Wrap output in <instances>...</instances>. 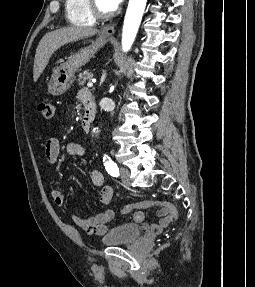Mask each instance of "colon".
I'll list each match as a JSON object with an SVG mask.
<instances>
[{"label":"colon","mask_w":255,"mask_h":287,"mask_svg":"<svg viewBox=\"0 0 255 287\" xmlns=\"http://www.w3.org/2000/svg\"><path fill=\"white\" fill-rule=\"evenodd\" d=\"M38 110L45 120L53 119L55 108L51 102L42 101L38 106ZM157 204L162 205L166 209V211L169 214V217L171 218V221H174V222L178 221L179 214H178L177 209L175 208L174 205L168 202H156L152 200H145V201H140V202L128 203L121 208L120 212L122 214H129L133 212L134 210L144 209V208L157 205Z\"/></svg>","instance_id":"1"}]
</instances>
